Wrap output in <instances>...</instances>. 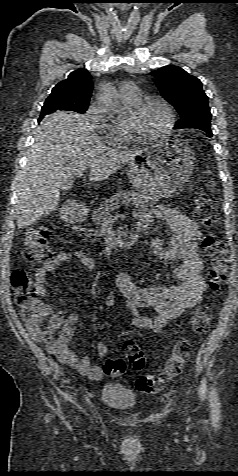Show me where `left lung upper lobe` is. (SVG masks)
<instances>
[{"label": "left lung upper lobe", "instance_id": "5c2ea615", "mask_svg": "<svg viewBox=\"0 0 238 476\" xmlns=\"http://www.w3.org/2000/svg\"><path fill=\"white\" fill-rule=\"evenodd\" d=\"M151 75L162 97L172 104L180 115L174 129H210L208 97L198 78L174 65L161 67L151 72Z\"/></svg>", "mask_w": 238, "mask_h": 476}]
</instances>
